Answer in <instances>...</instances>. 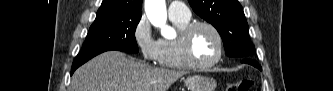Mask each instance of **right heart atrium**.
<instances>
[{
    "instance_id": "obj_1",
    "label": "right heart atrium",
    "mask_w": 333,
    "mask_h": 91,
    "mask_svg": "<svg viewBox=\"0 0 333 91\" xmlns=\"http://www.w3.org/2000/svg\"><path fill=\"white\" fill-rule=\"evenodd\" d=\"M132 36L145 61L155 62L158 55V40L155 39L150 23L146 17H141L135 24Z\"/></svg>"
}]
</instances>
